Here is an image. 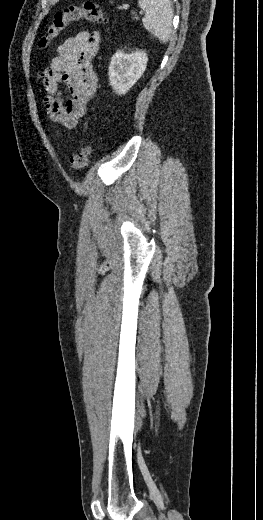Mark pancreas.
I'll return each instance as SVG.
<instances>
[{"label": "pancreas", "mask_w": 263, "mask_h": 520, "mask_svg": "<svg viewBox=\"0 0 263 520\" xmlns=\"http://www.w3.org/2000/svg\"><path fill=\"white\" fill-rule=\"evenodd\" d=\"M135 19H137V20H138L139 18H138L137 16H135Z\"/></svg>", "instance_id": "cf45deb5"}]
</instances>
